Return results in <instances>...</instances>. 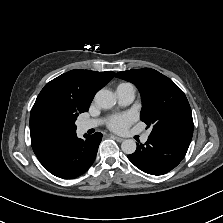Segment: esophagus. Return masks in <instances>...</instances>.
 Instances as JSON below:
<instances>
[{"label":"esophagus","mask_w":223,"mask_h":223,"mask_svg":"<svg viewBox=\"0 0 223 223\" xmlns=\"http://www.w3.org/2000/svg\"><path fill=\"white\" fill-rule=\"evenodd\" d=\"M112 138L114 139V140H116L117 142H122L124 139L123 138H120V137H117V136H112Z\"/></svg>","instance_id":"1"}]
</instances>
